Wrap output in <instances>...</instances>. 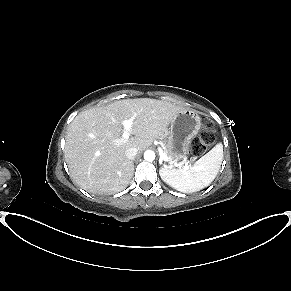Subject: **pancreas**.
Segmentation results:
<instances>
[{
    "label": "pancreas",
    "mask_w": 291,
    "mask_h": 291,
    "mask_svg": "<svg viewBox=\"0 0 291 291\" xmlns=\"http://www.w3.org/2000/svg\"><path fill=\"white\" fill-rule=\"evenodd\" d=\"M162 147H163L165 153L167 154V145H166V143H163V144H162Z\"/></svg>",
    "instance_id": "pancreas-1"
}]
</instances>
